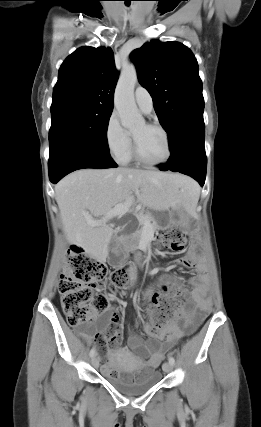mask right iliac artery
<instances>
[{"instance_id": "obj_1", "label": "right iliac artery", "mask_w": 261, "mask_h": 427, "mask_svg": "<svg viewBox=\"0 0 261 427\" xmlns=\"http://www.w3.org/2000/svg\"><path fill=\"white\" fill-rule=\"evenodd\" d=\"M95 354H96V351L94 348H92L90 351V356L93 357Z\"/></svg>"}]
</instances>
